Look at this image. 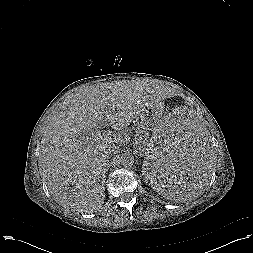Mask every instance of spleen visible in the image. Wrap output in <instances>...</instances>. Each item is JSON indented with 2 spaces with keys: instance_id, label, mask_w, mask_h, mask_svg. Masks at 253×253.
<instances>
[{
  "instance_id": "obj_1",
  "label": "spleen",
  "mask_w": 253,
  "mask_h": 253,
  "mask_svg": "<svg viewBox=\"0 0 253 253\" xmlns=\"http://www.w3.org/2000/svg\"><path fill=\"white\" fill-rule=\"evenodd\" d=\"M145 154L143 173L170 200L198 197L210 179V137L188 110H172L153 126Z\"/></svg>"
}]
</instances>
